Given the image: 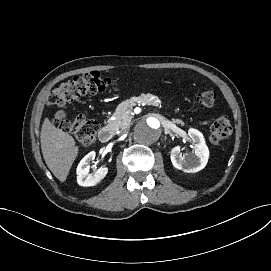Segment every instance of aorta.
I'll list each match as a JSON object with an SVG mask.
<instances>
[{"mask_svg": "<svg viewBox=\"0 0 271 271\" xmlns=\"http://www.w3.org/2000/svg\"><path fill=\"white\" fill-rule=\"evenodd\" d=\"M160 122L155 117L140 120L134 128V140L137 143L150 145L155 143L161 136Z\"/></svg>", "mask_w": 271, "mask_h": 271, "instance_id": "762f6f07", "label": "aorta"}]
</instances>
